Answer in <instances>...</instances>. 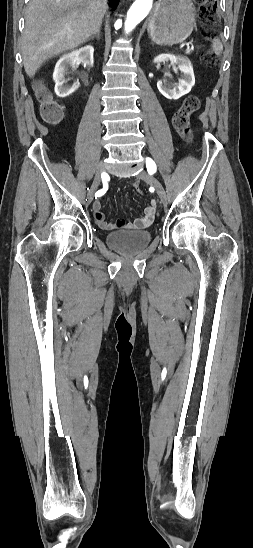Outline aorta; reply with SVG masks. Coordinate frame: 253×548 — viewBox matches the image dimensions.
I'll use <instances>...</instances> for the list:
<instances>
[{
    "label": "aorta",
    "mask_w": 253,
    "mask_h": 548,
    "mask_svg": "<svg viewBox=\"0 0 253 548\" xmlns=\"http://www.w3.org/2000/svg\"><path fill=\"white\" fill-rule=\"evenodd\" d=\"M153 0H135L127 12L125 31H132L150 12Z\"/></svg>",
    "instance_id": "762f6f07"
}]
</instances>
